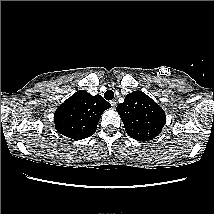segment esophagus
<instances>
[{
  "mask_svg": "<svg viewBox=\"0 0 214 214\" xmlns=\"http://www.w3.org/2000/svg\"><path fill=\"white\" fill-rule=\"evenodd\" d=\"M110 104L113 108H115L117 106V101L116 100H111Z\"/></svg>",
  "mask_w": 214,
  "mask_h": 214,
  "instance_id": "34e87169",
  "label": "esophagus"
}]
</instances>
